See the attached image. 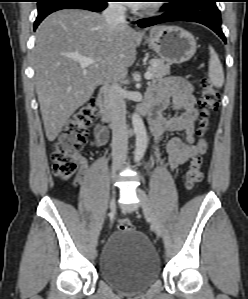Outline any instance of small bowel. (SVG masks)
<instances>
[{"label":"small bowel","instance_id":"obj_1","mask_svg":"<svg viewBox=\"0 0 248 299\" xmlns=\"http://www.w3.org/2000/svg\"><path fill=\"white\" fill-rule=\"evenodd\" d=\"M151 101V129L157 141L168 132H183V137H174L167 143L169 166L172 170L185 165L207 150L204 138L195 141V129L199 110L195 105L193 86L181 77H169L154 84L148 93ZM204 131V129L202 130ZM108 130L97 125L94 128L93 145L101 147L108 141ZM160 163L159 149H155Z\"/></svg>","mask_w":248,"mask_h":299}]
</instances>
